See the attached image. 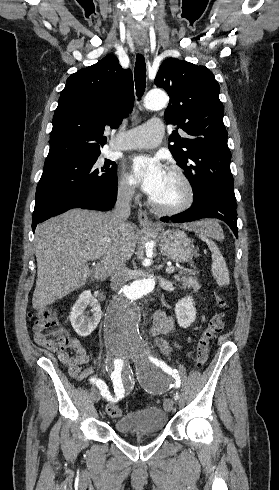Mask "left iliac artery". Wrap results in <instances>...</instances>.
Returning <instances> with one entry per match:
<instances>
[{"instance_id":"44dca946","label":"left iliac artery","mask_w":279,"mask_h":490,"mask_svg":"<svg viewBox=\"0 0 279 490\" xmlns=\"http://www.w3.org/2000/svg\"><path fill=\"white\" fill-rule=\"evenodd\" d=\"M150 360L156 364L157 366H159L160 368H162L165 372L169 373V374H172L173 376L177 377V374L178 371L177 370H172L167 364H165L163 361L161 360H158L157 358L155 357H149ZM178 398V395L176 393V396H175V400Z\"/></svg>"}]
</instances>
